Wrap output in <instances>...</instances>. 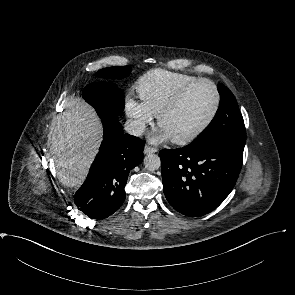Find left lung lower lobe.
<instances>
[{
  "label": "left lung lower lobe",
  "instance_id": "left-lung-lower-lobe-1",
  "mask_svg": "<svg viewBox=\"0 0 295 295\" xmlns=\"http://www.w3.org/2000/svg\"><path fill=\"white\" fill-rule=\"evenodd\" d=\"M163 191L178 212L203 216L232 191L242 166L243 150L224 143L185 146L159 152Z\"/></svg>",
  "mask_w": 295,
  "mask_h": 295
}]
</instances>
